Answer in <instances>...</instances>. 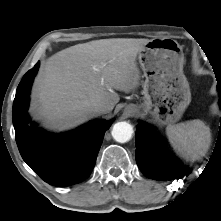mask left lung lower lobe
I'll use <instances>...</instances> for the list:
<instances>
[{"instance_id":"1","label":"left lung lower lobe","mask_w":221,"mask_h":221,"mask_svg":"<svg viewBox=\"0 0 221 221\" xmlns=\"http://www.w3.org/2000/svg\"><path fill=\"white\" fill-rule=\"evenodd\" d=\"M218 90L221 105L219 85ZM135 140L136 162L146 177L167 181L181 179L191 173L189 168L184 167L165 149L154 127L141 122L136 128ZM216 143H221L219 134Z\"/></svg>"}]
</instances>
